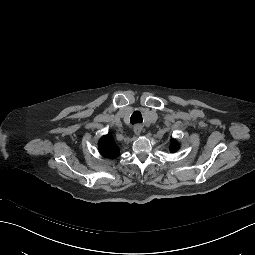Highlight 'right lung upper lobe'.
<instances>
[{"label": "right lung upper lobe", "instance_id": "cb5924a9", "mask_svg": "<svg viewBox=\"0 0 255 255\" xmlns=\"http://www.w3.org/2000/svg\"><path fill=\"white\" fill-rule=\"evenodd\" d=\"M98 146H99L100 153L104 157L115 158L119 156L120 154L119 148L116 145L114 138L112 137L110 133H108L107 135L103 136L100 139Z\"/></svg>", "mask_w": 255, "mask_h": 255}]
</instances>
